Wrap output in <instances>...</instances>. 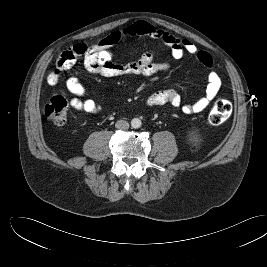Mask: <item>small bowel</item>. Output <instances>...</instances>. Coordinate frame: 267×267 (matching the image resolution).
I'll use <instances>...</instances> for the list:
<instances>
[{
  "instance_id": "small-bowel-1",
  "label": "small bowel",
  "mask_w": 267,
  "mask_h": 267,
  "mask_svg": "<svg viewBox=\"0 0 267 267\" xmlns=\"http://www.w3.org/2000/svg\"><path fill=\"white\" fill-rule=\"evenodd\" d=\"M135 36L147 37L162 41L170 49L173 59H181L184 55L195 56L206 67H212L211 55L200 50L192 41L178 38L169 32L158 29L146 21H135L124 28L114 31L92 44L78 43L70 46L59 56L54 69L48 74L47 82L57 85L64 72L72 68L79 58H83L85 69L104 77L133 75L151 77L159 72L167 71L170 63L155 62L152 51H145L139 60L126 64L113 62L112 47L118 42ZM221 78L215 71H210L205 94L193 102L184 103L180 94L172 89H160L147 97L149 106L170 105L181 109L185 114L200 113L216 98L221 89ZM66 92L73 97L70 105L73 109L85 113H97L101 106L90 98H85L86 89L78 78L71 76L65 82Z\"/></svg>"
}]
</instances>
